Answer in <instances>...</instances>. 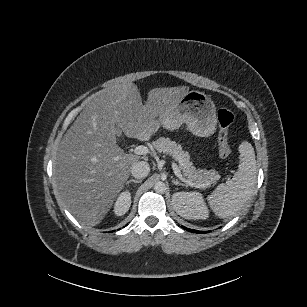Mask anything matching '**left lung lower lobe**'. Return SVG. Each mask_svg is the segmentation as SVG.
<instances>
[{
    "mask_svg": "<svg viewBox=\"0 0 307 307\" xmlns=\"http://www.w3.org/2000/svg\"><path fill=\"white\" fill-rule=\"evenodd\" d=\"M185 230L190 231V232H194V233H206L205 231H197V230H192L186 227H183Z\"/></svg>",
    "mask_w": 307,
    "mask_h": 307,
    "instance_id": "left-lung-lower-lobe-1",
    "label": "left lung lower lobe"
}]
</instances>
